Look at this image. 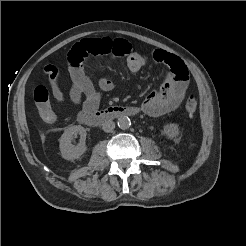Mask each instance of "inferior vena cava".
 Wrapping results in <instances>:
<instances>
[{"mask_svg":"<svg viewBox=\"0 0 246 246\" xmlns=\"http://www.w3.org/2000/svg\"><path fill=\"white\" fill-rule=\"evenodd\" d=\"M115 128V123L111 120H107L103 123L102 129L104 132H112Z\"/></svg>","mask_w":246,"mask_h":246,"instance_id":"obj_1","label":"inferior vena cava"}]
</instances>
